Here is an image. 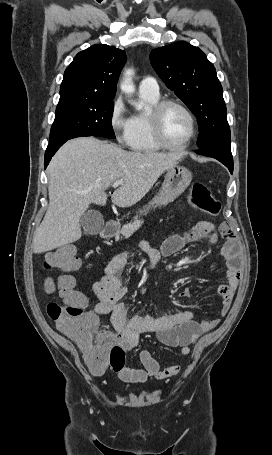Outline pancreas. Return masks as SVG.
Here are the masks:
<instances>
[{
  "label": "pancreas",
  "instance_id": "pancreas-1",
  "mask_svg": "<svg viewBox=\"0 0 272 455\" xmlns=\"http://www.w3.org/2000/svg\"><path fill=\"white\" fill-rule=\"evenodd\" d=\"M142 224L143 220H140L137 217H135L133 222L125 224L122 227V229L116 233L115 240L118 241L120 238L122 239V236L124 238L130 237L134 232H136L140 228Z\"/></svg>",
  "mask_w": 272,
  "mask_h": 455
}]
</instances>
